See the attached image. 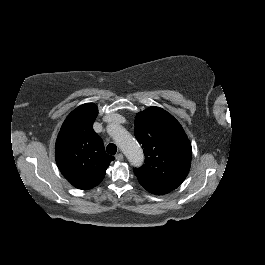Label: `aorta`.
Listing matches in <instances>:
<instances>
[{"instance_id":"aorta-1","label":"aorta","mask_w":265,"mask_h":265,"mask_svg":"<svg viewBox=\"0 0 265 265\" xmlns=\"http://www.w3.org/2000/svg\"><path fill=\"white\" fill-rule=\"evenodd\" d=\"M119 132L121 134L123 130L120 129ZM116 141L119 142L122 152L133 166H140L142 164L144 160L143 150L129 133H126L122 141H119L118 138H116Z\"/></svg>"}]
</instances>
